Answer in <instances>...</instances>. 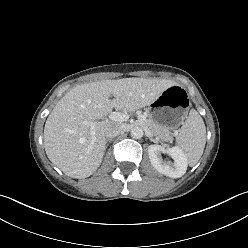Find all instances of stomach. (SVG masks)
Masks as SVG:
<instances>
[{"label": "stomach", "instance_id": "1", "mask_svg": "<svg viewBox=\"0 0 248 248\" xmlns=\"http://www.w3.org/2000/svg\"><path fill=\"white\" fill-rule=\"evenodd\" d=\"M190 108L186 89L174 85L164 90L148 107L149 119L167 128L176 130L187 117Z\"/></svg>", "mask_w": 248, "mask_h": 248}]
</instances>
